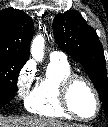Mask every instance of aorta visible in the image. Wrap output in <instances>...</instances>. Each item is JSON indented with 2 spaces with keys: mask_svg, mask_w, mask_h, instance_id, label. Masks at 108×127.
Instances as JSON below:
<instances>
[{
  "mask_svg": "<svg viewBox=\"0 0 108 127\" xmlns=\"http://www.w3.org/2000/svg\"><path fill=\"white\" fill-rule=\"evenodd\" d=\"M44 46H45V40L42 35H37L31 44V55L32 57L38 61L41 62L44 57Z\"/></svg>",
  "mask_w": 108,
  "mask_h": 127,
  "instance_id": "obj_1",
  "label": "aorta"
}]
</instances>
